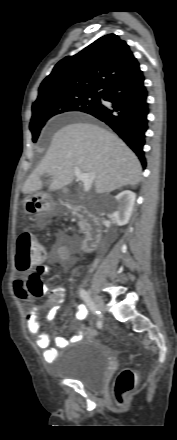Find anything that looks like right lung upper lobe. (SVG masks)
I'll return each instance as SVG.
<instances>
[{
    "label": "right lung upper lobe",
    "instance_id": "cb5924a9",
    "mask_svg": "<svg viewBox=\"0 0 177 440\" xmlns=\"http://www.w3.org/2000/svg\"><path fill=\"white\" fill-rule=\"evenodd\" d=\"M138 69L127 43L115 34L105 35L59 61L41 83L32 108L67 95L104 94Z\"/></svg>",
    "mask_w": 177,
    "mask_h": 440
}]
</instances>
